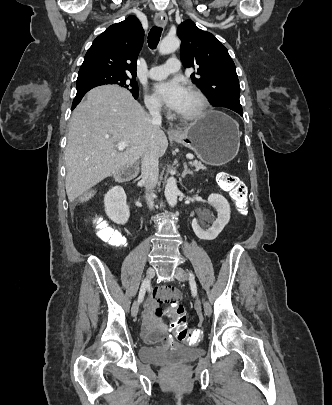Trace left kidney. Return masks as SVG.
Segmentation results:
<instances>
[{
  "mask_svg": "<svg viewBox=\"0 0 332 405\" xmlns=\"http://www.w3.org/2000/svg\"><path fill=\"white\" fill-rule=\"evenodd\" d=\"M208 203L218 212L216 220H212L210 213L204 212L202 217L212 221V226L204 230L203 222L198 219L192 220V229L196 236L202 240H214L228 224L230 220V205L228 201L220 194H211L208 197Z\"/></svg>",
  "mask_w": 332,
  "mask_h": 405,
  "instance_id": "obj_1",
  "label": "left kidney"
}]
</instances>
